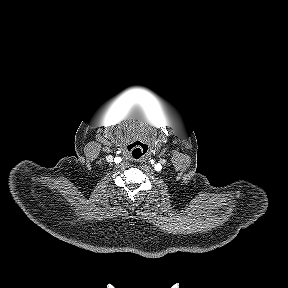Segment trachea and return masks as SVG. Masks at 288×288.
I'll use <instances>...</instances> for the list:
<instances>
[{
    "instance_id": "1",
    "label": "trachea",
    "mask_w": 288,
    "mask_h": 288,
    "mask_svg": "<svg viewBox=\"0 0 288 288\" xmlns=\"http://www.w3.org/2000/svg\"><path fill=\"white\" fill-rule=\"evenodd\" d=\"M127 149L130 153V156L134 160H138L142 158L148 152V145L144 144L141 141H133L129 143Z\"/></svg>"
}]
</instances>
